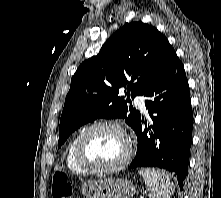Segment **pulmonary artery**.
I'll list each match as a JSON object with an SVG mask.
<instances>
[{
  "instance_id": "pulmonary-artery-1",
  "label": "pulmonary artery",
  "mask_w": 221,
  "mask_h": 198,
  "mask_svg": "<svg viewBox=\"0 0 221 198\" xmlns=\"http://www.w3.org/2000/svg\"><path fill=\"white\" fill-rule=\"evenodd\" d=\"M134 102L140 108V110L142 112H146V106H145L144 97L136 96L135 99H134Z\"/></svg>"
}]
</instances>
